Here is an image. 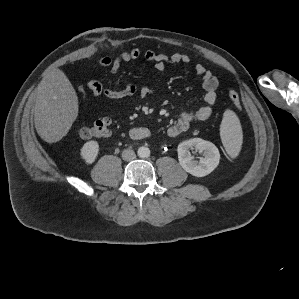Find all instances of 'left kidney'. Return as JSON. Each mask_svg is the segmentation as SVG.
Segmentation results:
<instances>
[{
  "mask_svg": "<svg viewBox=\"0 0 299 299\" xmlns=\"http://www.w3.org/2000/svg\"><path fill=\"white\" fill-rule=\"evenodd\" d=\"M196 149L203 152L204 157L200 161L193 159L189 150ZM178 160L181 167L196 177H204L210 174L219 164L220 153L218 148L211 142L201 138L185 140L178 145Z\"/></svg>",
  "mask_w": 299,
  "mask_h": 299,
  "instance_id": "1",
  "label": "left kidney"
}]
</instances>
